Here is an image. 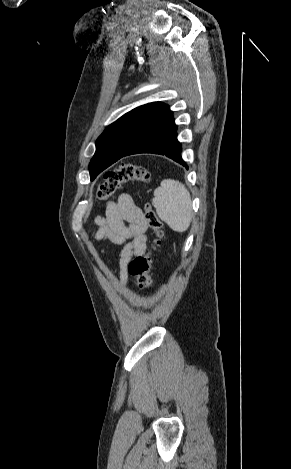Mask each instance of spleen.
<instances>
[{"instance_id":"3e777b00","label":"spleen","mask_w":291,"mask_h":469,"mask_svg":"<svg viewBox=\"0 0 291 469\" xmlns=\"http://www.w3.org/2000/svg\"><path fill=\"white\" fill-rule=\"evenodd\" d=\"M152 204L159 218L176 232H185L192 221V201L189 191L179 181L165 179L154 191Z\"/></svg>"}]
</instances>
